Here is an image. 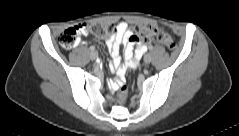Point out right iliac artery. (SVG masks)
Wrapping results in <instances>:
<instances>
[{"instance_id": "1", "label": "right iliac artery", "mask_w": 239, "mask_h": 136, "mask_svg": "<svg viewBox=\"0 0 239 136\" xmlns=\"http://www.w3.org/2000/svg\"><path fill=\"white\" fill-rule=\"evenodd\" d=\"M90 49H91L92 51H96V47H94V46H91Z\"/></svg>"}]
</instances>
